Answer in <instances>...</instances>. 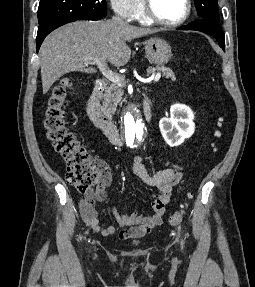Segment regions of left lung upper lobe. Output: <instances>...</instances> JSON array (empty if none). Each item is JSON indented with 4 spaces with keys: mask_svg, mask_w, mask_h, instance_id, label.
I'll return each mask as SVG.
<instances>
[{
    "mask_svg": "<svg viewBox=\"0 0 255 287\" xmlns=\"http://www.w3.org/2000/svg\"><path fill=\"white\" fill-rule=\"evenodd\" d=\"M200 18L212 19L219 22L217 0H194Z\"/></svg>",
    "mask_w": 255,
    "mask_h": 287,
    "instance_id": "left-lung-upper-lobe-1",
    "label": "left lung upper lobe"
}]
</instances>
